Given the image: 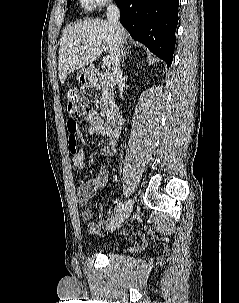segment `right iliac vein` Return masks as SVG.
<instances>
[{"label":"right iliac vein","instance_id":"obj_1","mask_svg":"<svg viewBox=\"0 0 239 303\" xmlns=\"http://www.w3.org/2000/svg\"><path fill=\"white\" fill-rule=\"evenodd\" d=\"M134 201L129 199L123 208L111 219L107 229L114 230L119 227L131 214L133 209Z\"/></svg>","mask_w":239,"mask_h":303}]
</instances>
